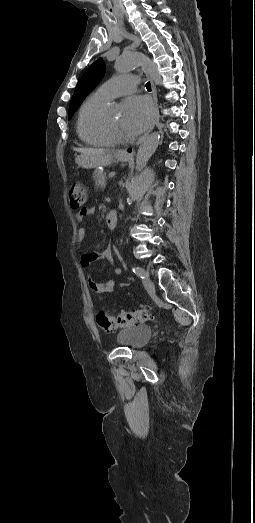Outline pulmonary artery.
<instances>
[{
    "mask_svg": "<svg viewBox=\"0 0 255 523\" xmlns=\"http://www.w3.org/2000/svg\"><path fill=\"white\" fill-rule=\"evenodd\" d=\"M138 79L134 75H121L111 81L103 83L99 90L108 96L114 98L119 95L128 97L130 92H136Z\"/></svg>",
    "mask_w": 255,
    "mask_h": 523,
    "instance_id": "obj_1",
    "label": "pulmonary artery"
}]
</instances>
